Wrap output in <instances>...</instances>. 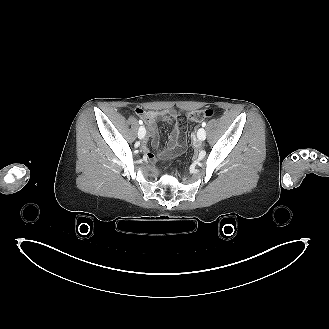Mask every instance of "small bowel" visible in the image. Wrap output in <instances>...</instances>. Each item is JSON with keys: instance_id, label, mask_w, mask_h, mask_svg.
<instances>
[{"instance_id": "c3829d8e", "label": "small bowel", "mask_w": 329, "mask_h": 329, "mask_svg": "<svg viewBox=\"0 0 329 329\" xmlns=\"http://www.w3.org/2000/svg\"><path fill=\"white\" fill-rule=\"evenodd\" d=\"M136 114L144 120L148 126V135L145 140V154L148 159L155 160V156L148 147L147 142L151 145L157 147L159 144L158 131L155 125V121L159 118L169 121L172 125V131L169 136L168 148L163 152L162 156L164 158H171L175 154L181 153L186 146L185 138L182 131L186 130L188 127L186 121V113L184 110H174V109H162V110H145L141 107L136 108Z\"/></svg>"}]
</instances>
